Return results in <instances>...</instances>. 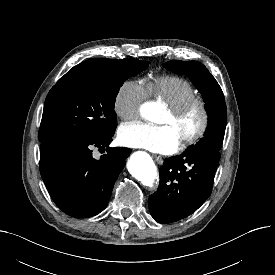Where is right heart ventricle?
I'll use <instances>...</instances> for the list:
<instances>
[{
	"instance_id": "right-heart-ventricle-1",
	"label": "right heart ventricle",
	"mask_w": 275,
	"mask_h": 275,
	"mask_svg": "<svg viewBox=\"0 0 275 275\" xmlns=\"http://www.w3.org/2000/svg\"><path fill=\"white\" fill-rule=\"evenodd\" d=\"M145 87L149 95L168 107L196 96V90L189 81L173 75L154 77Z\"/></svg>"
}]
</instances>
